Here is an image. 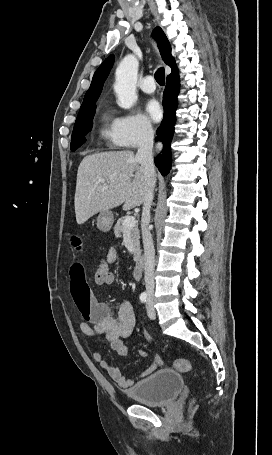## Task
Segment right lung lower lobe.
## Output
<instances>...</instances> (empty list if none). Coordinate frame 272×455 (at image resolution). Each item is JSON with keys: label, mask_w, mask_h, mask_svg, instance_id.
Here are the masks:
<instances>
[{"label": "right lung lower lobe", "mask_w": 272, "mask_h": 455, "mask_svg": "<svg viewBox=\"0 0 272 455\" xmlns=\"http://www.w3.org/2000/svg\"><path fill=\"white\" fill-rule=\"evenodd\" d=\"M179 73L167 77L166 87L163 96L164 118L158 128L156 140L163 143L162 154L155 158V165L163 176H166L171 168V150L170 143L174 133L176 121L175 111L177 109V96L179 93Z\"/></svg>", "instance_id": "right-lung-lower-lobe-1"}]
</instances>
